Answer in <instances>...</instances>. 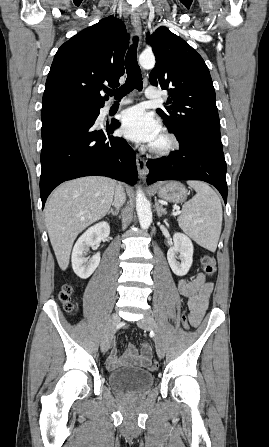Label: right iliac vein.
<instances>
[{
    "label": "right iliac vein",
    "mask_w": 269,
    "mask_h": 447,
    "mask_svg": "<svg viewBox=\"0 0 269 447\" xmlns=\"http://www.w3.org/2000/svg\"><path fill=\"white\" fill-rule=\"evenodd\" d=\"M120 321L121 319L116 313L112 314L111 318L109 319L101 340V349L104 353L109 350L116 326Z\"/></svg>",
    "instance_id": "obj_1"
}]
</instances>
